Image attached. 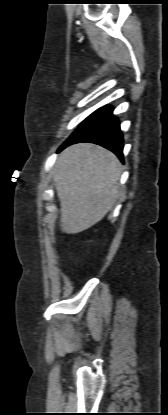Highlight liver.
<instances>
[{
    "label": "liver",
    "mask_w": 168,
    "mask_h": 415,
    "mask_svg": "<svg viewBox=\"0 0 168 415\" xmlns=\"http://www.w3.org/2000/svg\"><path fill=\"white\" fill-rule=\"evenodd\" d=\"M122 165L107 149L80 143L66 148L56 162V192L62 232L92 227L111 210L119 192Z\"/></svg>",
    "instance_id": "obj_1"
}]
</instances>
